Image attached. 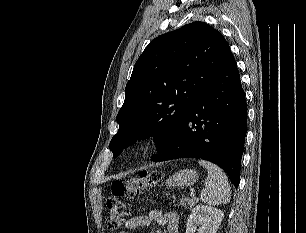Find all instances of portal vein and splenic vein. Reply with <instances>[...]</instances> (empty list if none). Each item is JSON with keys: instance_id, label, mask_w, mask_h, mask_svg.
<instances>
[{"instance_id": "obj_1", "label": "portal vein and splenic vein", "mask_w": 306, "mask_h": 233, "mask_svg": "<svg viewBox=\"0 0 306 233\" xmlns=\"http://www.w3.org/2000/svg\"><path fill=\"white\" fill-rule=\"evenodd\" d=\"M192 197H194L195 196V194H194V192H191V194H190Z\"/></svg>"}]
</instances>
